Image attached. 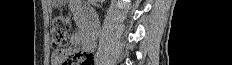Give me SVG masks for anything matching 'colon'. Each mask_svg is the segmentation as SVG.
Instances as JSON below:
<instances>
[{"mask_svg": "<svg viewBox=\"0 0 232 65\" xmlns=\"http://www.w3.org/2000/svg\"><path fill=\"white\" fill-rule=\"evenodd\" d=\"M71 27L68 16L59 15L53 20L52 45L54 48V59L60 65H92L93 56L67 46V35Z\"/></svg>", "mask_w": 232, "mask_h": 65, "instance_id": "colon-1", "label": "colon"}]
</instances>
